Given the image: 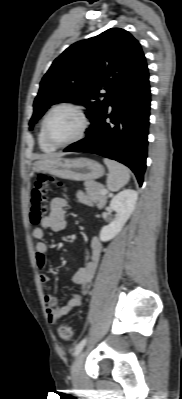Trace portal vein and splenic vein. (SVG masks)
I'll list each match as a JSON object with an SVG mask.
<instances>
[{
  "mask_svg": "<svg viewBox=\"0 0 182 399\" xmlns=\"http://www.w3.org/2000/svg\"><path fill=\"white\" fill-rule=\"evenodd\" d=\"M103 193H105V194H106V193H107V191L105 190Z\"/></svg>",
  "mask_w": 182,
  "mask_h": 399,
  "instance_id": "obj_1",
  "label": "portal vein and splenic vein"
}]
</instances>
